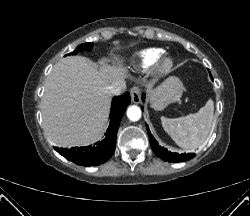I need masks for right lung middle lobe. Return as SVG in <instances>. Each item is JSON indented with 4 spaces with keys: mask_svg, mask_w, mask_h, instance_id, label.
<instances>
[{
    "mask_svg": "<svg viewBox=\"0 0 250 216\" xmlns=\"http://www.w3.org/2000/svg\"><path fill=\"white\" fill-rule=\"evenodd\" d=\"M93 46V43H86L85 45L84 44H81L80 46L77 47V49L75 51H73L72 53L68 54V55H76L77 52H80V51H84V50H90Z\"/></svg>",
    "mask_w": 250,
    "mask_h": 216,
    "instance_id": "obj_1",
    "label": "right lung middle lobe"
}]
</instances>
